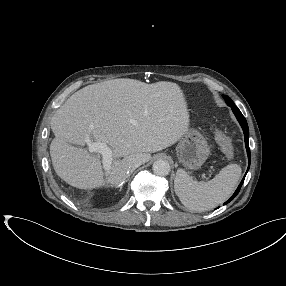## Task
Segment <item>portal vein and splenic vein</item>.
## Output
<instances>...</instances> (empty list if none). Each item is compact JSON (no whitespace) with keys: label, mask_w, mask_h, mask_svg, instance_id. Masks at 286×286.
I'll return each instance as SVG.
<instances>
[{"label":"portal vein and splenic vein","mask_w":286,"mask_h":286,"mask_svg":"<svg viewBox=\"0 0 286 286\" xmlns=\"http://www.w3.org/2000/svg\"><path fill=\"white\" fill-rule=\"evenodd\" d=\"M88 151L90 153H98L102 155V163L105 170H109L112 164V150L103 142H87Z\"/></svg>","instance_id":"18ae733b"}]
</instances>
